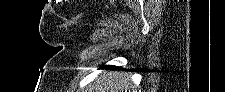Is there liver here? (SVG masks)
Wrapping results in <instances>:
<instances>
[{"label":"liver","instance_id":"liver-1","mask_svg":"<svg viewBox=\"0 0 225 92\" xmlns=\"http://www.w3.org/2000/svg\"><path fill=\"white\" fill-rule=\"evenodd\" d=\"M131 75L127 73L104 74L90 85V92H131L134 90Z\"/></svg>","mask_w":225,"mask_h":92}]
</instances>
